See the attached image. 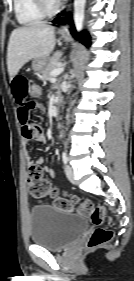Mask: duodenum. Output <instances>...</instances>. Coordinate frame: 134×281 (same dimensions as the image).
Listing matches in <instances>:
<instances>
[{"label": "duodenum", "mask_w": 134, "mask_h": 281, "mask_svg": "<svg viewBox=\"0 0 134 281\" xmlns=\"http://www.w3.org/2000/svg\"><path fill=\"white\" fill-rule=\"evenodd\" d=\"M59 111H60V101L58 100L54 105V112L56 115H58Z\"/></svg>", "instance_id": "1"}]
</instances>
